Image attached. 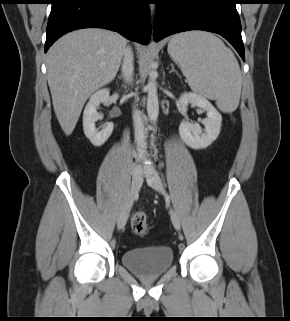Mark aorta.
<instances>
[{
  "instance_id": "762f6f07",
  "label": "aorta",
  "mask_w": 290,
  "mask_h": 321,
  "mask_svg": "<svg viewBox=\"0 0 290 321\" xmlns=\"http://www.w3.org/2000/svg\"><path fill=\"white\" fill-rule=\"evenodd\" d=\"M157 76L156 70L149 72V80L147 84V113L151 123H156L159 115V102L157 94Z\"/></svg>"
}]
</instances>
